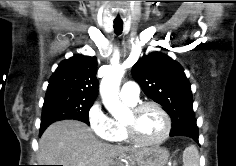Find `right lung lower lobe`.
<instances>
[{
    "label": "right lung lower lobe",
    "instance_id": "98d812e1",
    "mask_svg": "<svg viewBox=\"0 0 236 166\" xmlns=\"http://www.w3.org/2000/svg\"><path fill=\"white\" fill-rule=\"evenodd\" d=\"M46 128H40V135L43 133V131L45 130Z\"/></svg>",
    "mask_w": 236,
    "mask_h": 166
}]
</instances>
